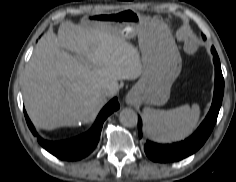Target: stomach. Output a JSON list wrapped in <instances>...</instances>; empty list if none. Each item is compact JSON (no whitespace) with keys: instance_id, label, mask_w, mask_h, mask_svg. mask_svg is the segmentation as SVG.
Segmentation results:
<instances>
[{"instance_id":"stomach-1","label":"stomach","mask_w":236,"mask_h":182,"mask_svg":"<svg viewBox=\"0 0 236 182\" xmlns=\"http://www.w3.org/2000/svg\"><path fill=\"white\" fill-rule=\"evenodd\" d=\"M91 25L103 26L110 33L131 39L138 36L144 46L143 71L128 97L139 103L163 105L170 96L172 83L181 71V56L167 25L135 10H123L111 15L93 13Z\"/></svg>"}]
</instances>
